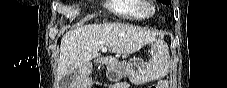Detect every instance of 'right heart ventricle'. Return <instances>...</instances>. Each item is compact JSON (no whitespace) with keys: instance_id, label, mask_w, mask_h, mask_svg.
<instances>
[{"instance_id":"e07e8e85","label":"right heart ventricle","mask_w":227,"mask_h":88,"mask_svg":"<svg viewBox=\"0 0 227 88\" xmlns=\"http://www.w3.org/2000/svg\"><path fill=\"white\" fill-rule=\"evenodd\" d=\"M138 0H106V8L113 14L130 20H142Z\"/></svg>"}]
</instances>
